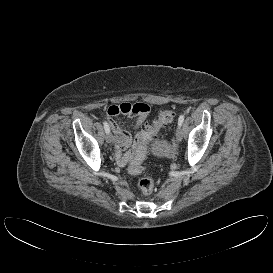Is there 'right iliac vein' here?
<instances>
[{
    "label": "right iliac vein",
    "mask_w": 273,
    "mask_h": 273,
    "mask_svg": "<svg viewBox=\"0 0 273 273\" xmlns=\"http://www.w3.org/2000/svg\"><path fill=\"white\" fill-rule=\"evenodd\" d=\"M112 141H113V137H112L111 133L109 132V133L106 134V142L108 144H111Z\"/></svg>",
    "instance_id": "1"
}]
</instances>
